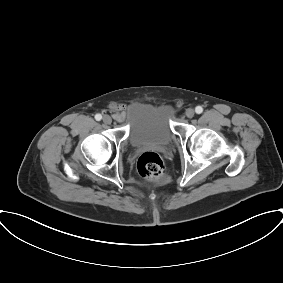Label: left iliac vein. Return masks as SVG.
<instances>
[{"mask_svg":"<svg viewBox=\"0 0 283 283\" xmlns=\"http://www.w3.org/2000/svg\"><path fill=\"white\" fill-rule=\"evenodd\" d=\"M194 114H195V111L193 109L189 108V109L186 110V116L188 118H192L194 116Z\"/></svg>","mask_w":283,"mask_h":283,"instance_id":"4c4485c4","label":"left iliac vein"}]
</instances>
